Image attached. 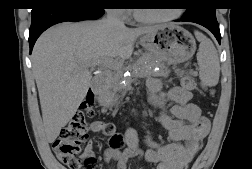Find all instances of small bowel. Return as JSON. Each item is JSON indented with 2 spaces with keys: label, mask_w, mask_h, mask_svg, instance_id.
<instances>
[{
  "label": "small bowel",
  "mask_w": 252,
  "mask_h": 169,
  "mask_svg": "<svg viewBox=\"0 0 252 169\" xmlns=\"http://www.w3.org/2000/svg\"><path fill=\"white\" fill-rule=\"evenodd\" d=\"M149 100L160 109L159 122L169 132L171 142L159 145L150 136L146 142L149 149L144 151L139 146V139L134 128L128 127L122 138L127 145L124 150L110 146L104 152L106 162L116 161L118 169H126L127 161L139 157L155 164L156 169H182L199 151L201 142L209 132V120L201 116L199 107L191 102L192 93L181 87L162 91L157 80L148 82ZM167 102H174L168 111L164 110ZM104 121H94L89 125L91 132H101ZM122 137V136H121ZM84 154L94 159V143L88 141Z\"/></svg>",
  "instance_id": "c3829d8e"
}]
</instances>
